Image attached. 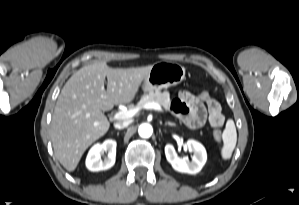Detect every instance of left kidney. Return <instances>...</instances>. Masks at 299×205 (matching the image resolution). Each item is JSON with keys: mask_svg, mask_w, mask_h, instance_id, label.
Here are the masks:
<instances>
[{"mask_svg": "<svg viewBox=\"0 0 299 205\" xmlns=\"http://www.w3.org/2000/svg\"><path fill=\"white\" fill-rule=\"evenodd\" d=\"M186 146L190 152L194 153L191 162L187 157H178L174 146L171 144L165 146L166 159L174 170L181 173L196 174L206 163V150L201 143L192 139L187 141Z\"/></svg>", "mask_w": 299, "mask_h": 205, "instance_id": "1", "label": "left kidney"}]
</instances>
